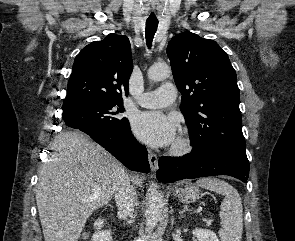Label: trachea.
Here are the masks:
<instances>
[{
	"mask_svg": "<svg viewBox=\"0 0 295 241\" xmlns=\"http://www.w3.org/2000/svg\"><path fill=\"white\" fill-rule=\"evenodd\" d=\"M157 27H158V20L146 21L145 37H146L147 46L149 48L152 46V41L156 33Z\"/></svg>",
	"mask_w": 295,
	"mask_h": 241,
	"instance_id": "1",
	"label": "trachea"
}]
</instances>
